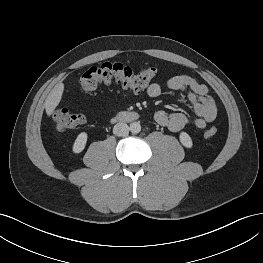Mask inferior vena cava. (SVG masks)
<instances>
[{
    "label": "inferior vena cava",
    "instance_id": "obj_1",
    "mask_svg": "<svg viewBox=\"0 0 263 263\" xmlns=\"http://www.w3.org/2000/svg\"><path fill=\"white\" fill-rule=\"evenodd\" d=\"M129 126L126 123H117L113 128V133L116 136H126L129 133Z\"/></svg>",
    "mask_w": 263,
    "mask_h": 263
}]
</instances>
